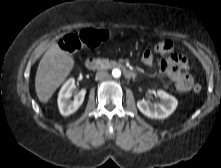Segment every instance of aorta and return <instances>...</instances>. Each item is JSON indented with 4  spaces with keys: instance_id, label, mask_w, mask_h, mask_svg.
<instances>
[{
    "instance_id": "1",
    "label": "aorta",
    "mask_w": 221,
    "mask_h": 168,
    "mask_svg": "<svg viewBox=\"0 0 221 168\" xmlns=\"http://www.w3.org/2000/svg\"><path fill=\"white\" fill-rule=\"evenodd\" d=\"M112 75L114 78H119L121 76V70L118 68H114L112 70Z\"/></svg>"
}]
</instances>
